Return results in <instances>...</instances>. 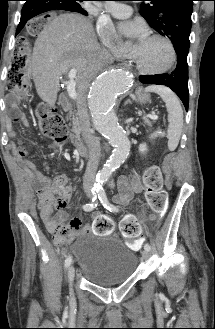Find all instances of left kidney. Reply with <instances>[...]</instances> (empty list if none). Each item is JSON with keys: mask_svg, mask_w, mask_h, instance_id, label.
Returning a JSON list of instances; mask_svg holds the SVG:
<instances>
[{"mask_svg": "<svg viewBox=\"0 0 215 329\" xmlns=\"http://www.w3.org/2000/svg\"><path fill=\"white\" fill-rule=\"evenodd\" d=\"M148 150L146 143H142L139 146V152L144 153Z\"/></svg>", "mask_w": 215, "mask_h": 329, "instance_id": "obj_1", "label": "left kidney"}]
</instances>
